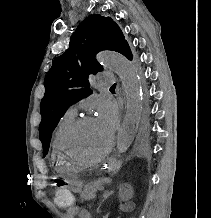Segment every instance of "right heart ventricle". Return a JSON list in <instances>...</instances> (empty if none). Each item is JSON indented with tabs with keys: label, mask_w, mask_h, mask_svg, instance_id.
<instances>
[{
	"label": "right heart ventricle",
	"mask_w": 211,
	"mask_h": 218,
	"mask_svg": "<svg viewBox=\"0 0 211 218\" xmlns=\"http://www.w3.org/2000/svg\"><path fill=\"white\" fill-rule=\"evenodd\" d=\"M75 120L76 113L67 110L56 125L53 135V149L56 154H50V165L53 169H71V164H66V160H64L66 150L64 138L68 128Z\"/></svg>",
	"instance_id": "e07e8e85"
}]
</instances>
